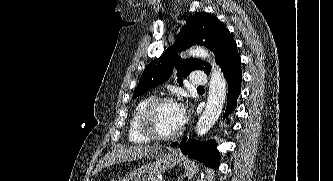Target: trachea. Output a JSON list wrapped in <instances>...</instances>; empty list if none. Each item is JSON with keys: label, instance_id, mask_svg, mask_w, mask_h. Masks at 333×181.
<instances>
[{"label": "trachea", "instance_id": "3493384b", "mask_svg": "<svg viewBox=\"0 0 333 181\" xmlns=\"http://www.w3.org/2000/svg\"><path fill=\"white\" fill-rule=\"evenodd\" d=\"M197 89H204V87L203 86H199V87H197Z\"/></svg>", "mask_w": 333, "mask_h": 181}]
</instances>
